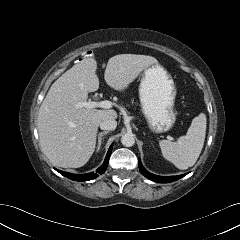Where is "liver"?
Wrapping results in <instances>:
<instances>
[{
    "label": "liver",
    "instance_id": "1",
    "mask_svg": "<svg viewBox=\"0 0 240 240\" xmlns=\"http://www.w3.org/2000/svg\"><path fill=\"white\" fill-rule=\"evenodd\" d=\"M158 64L148 55L119 54L107 63L104 79L111 88L122 91L147 67ZM97 61L86 58L62 74L50 87L38 113L42 152L49 161L63 168H78L92 156L98 126L105 119H116L114 110L77 108L89 92L99 88Z\"/></svg>",
    "mask_w": 240,
    "mask_h": 240
}]
</instances>
